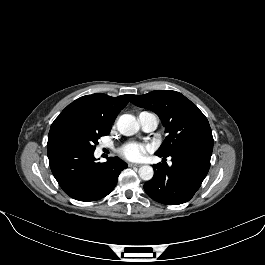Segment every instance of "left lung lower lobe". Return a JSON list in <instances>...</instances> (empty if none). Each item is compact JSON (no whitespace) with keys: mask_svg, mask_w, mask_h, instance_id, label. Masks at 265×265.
Listing matches in <instances>:
<instances>
[{"mask_svg":"<svg viewBox=\"0 0 265 265\" xmlns=\"http://www.w3.org/2000/svg\"><path fill=\"white\" fill-rule=\"evenodd\" d=\"M213 150V136L203 135L191 139L169 155L172 165L166 162L154 165V176L144 184L149 197L166 205L189 201L200 188L209 168ZM166 160V159H163Z\"/></svg>","mask_w":265,"mask_h":265,"instance_id":"1","label":"left lung lower lobe"}]
</instances>
